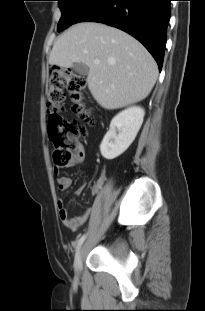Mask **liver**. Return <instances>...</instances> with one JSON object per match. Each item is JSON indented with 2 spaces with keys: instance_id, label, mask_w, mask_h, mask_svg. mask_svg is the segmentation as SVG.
<instances>
[{
  "instance_id": "obj_1",
  "label": "liver",
  "mask_w": 205,
  "mask_h": 311,
  "mask_svg": "<svg viewBox=\"0 0 205 311\" xmlns=\"http://www.w3.org/2000/svg\"><path fill=\"white\" fill-rule=\"evenodd\" d=\"M49 63L64 68L87 65L88 88L106 109L145 99L158 77L154 58L139 41L98 22L78 23L65 31L54 43Z\"/></svg>"
}]
</instances>
